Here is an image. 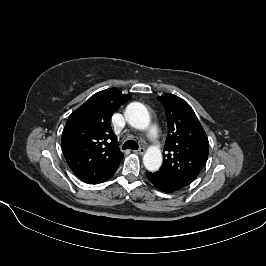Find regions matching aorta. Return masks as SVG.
Wrapping results in <instances>:
<instances>
[{
    "mask_svg": "<svg viewBox=\"0 0 266 266\" xmlns=\"http://www.w3.org/2000/svg\"><path fill=\"white\" fill-rule=\"evenodd\" d=\"M125 117L131 126L145 130L150 124V115L147 108L139 102L130 103L125 110ZM143 163L147 170L157 171L162 165V154L158 147H150L143 157Z\"/></svg>",
    "mask_w": 266,
    "mask_h": 266,
    "instance_id": "1",
    "label": "aorta"
}]
</instances>
